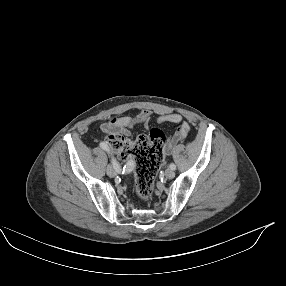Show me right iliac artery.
Returning a JSON list of instances; mask_svg holds the SVG:
<instances>
[{"mask_svg":"<svg viewBox=\"0 0 286 286\" xmlns=\"http://www.w3.org/2000/svg\"><path fill=\"white\" fill-rule=\"evenodd\" d=\"M100 147L102 148V149H104V150H106V151H109V147H108V145L105 143V142H101L100 143ZM112 164H113V166H114V168L116 169V170H120L121 171V169H120V166H119V164L117 163V161L113 158L112 159ZM127 167H126V165L123 167V173H124V171H125V169H126Z\"/></svg>","mask_w":286,"mask_h":286,"instance_id":"1","label":"right iliac artery"}]
</instances>
